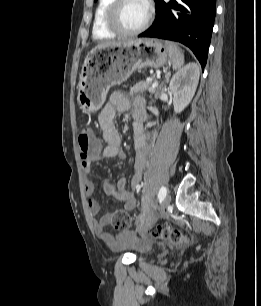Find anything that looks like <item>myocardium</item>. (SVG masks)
<instances>
[{
    "label": "myocardium",
    "mask_w": 261,
    "mask_h": 306,
    "mask_svg": "<svg viewBox=\"0 0 261 306\" xmlns=\"http://www.w3.org/2000/svg\"><path fill=\"white\" fill-rule=\"evenodd\" d=\"M126 2V0H113L112 3L108 6L106 14H105V23L107 27L119 36H135L143 31H145L152 20L153 17V6L149 0H144L147 5V15L144 22L137 27L136 29L129 30L123 27L119 20V13L122 5Z\"/></svg>",
    "instance_id": "myocardium-1"
}]
</instances>
